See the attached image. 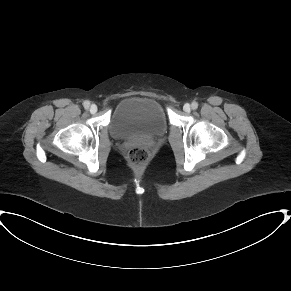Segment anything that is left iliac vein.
Here are the masks:
<instances>
[{
  "mask_svg": "<svg viewBox=\"0 0 291 291\" xmlns=\"http://www.w3.org/2000/svg\"><path fill=\"white\" fill-rule=\"evenodd\" d=\"M183 110L185 111V112H190V110H191V107H190V105L188 104V103H186L184 106H183Z\"/></svg>",
  "mask_w": 291,
  "mask_h": 291,
  "instance_id": "obj_1",
  "label": "left iliac vein"
}]
</instances>
